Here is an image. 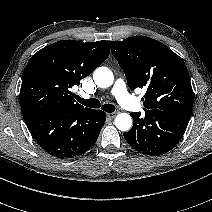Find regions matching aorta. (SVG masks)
<instances>
[{
    "label": "aorta",
    "mask_w": 212,
    "mask_h": 212,
    "mask_svg": "<svg viewBox=\"0 0 212 212\" xmlns=\"http://www.w3.org/2000/svg\"><path fill=\"white\" fill-rule=\"evenodd\" d=\"M95 84L101 88H108L113 84L114 76L107 67H98L93 73ZM115 126L121 131H128L132 127V118L128 113H119L115 118Z\"/></svg>",
    "instance_id": "762f6f07"
}]
</instances>
